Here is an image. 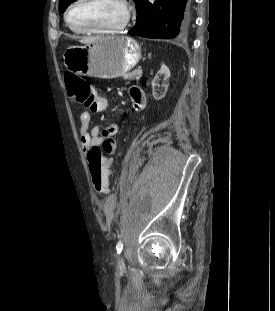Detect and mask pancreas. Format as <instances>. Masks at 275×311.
I'll return each instance as SVG.
<instances>
[{"instance_id":"pancreas-1","label":"pancreas","mask_w":275,"mask_h":311,"mask_svg":"<svg viewBox=\"0 0 275 311\" xmlns=\"http://www.w3.org/2000/svg\"><path fill=\"white\" fill-rule=\"evenodd\" d=\"M141 75H142V71L138 69L131 73L124 74L123 77L125 80H135V79H139Z\"/></svg>"}]
</instances>
